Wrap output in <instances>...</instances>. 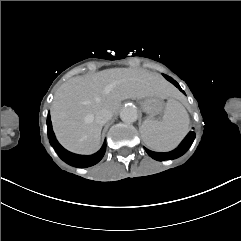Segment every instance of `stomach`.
Here are the masks:
<instances>
[{
    "instance_id": "stomach-1",
    "label": "stomach",
    "mask_w": 241,
    "mask_h": 241,
    "mask_svg": "<svg viewBox=\"0 0 241 241\" xmlns=\"http://www.w3.org/2000/svg\"><path fill=\"white\" fill-rule=\"evenodd\" d=\"M142 110L149 116L154 118L160 115L164 109L163 101L158 97L145 98L141 101Z\"/></svg>"
}]
</instances>
